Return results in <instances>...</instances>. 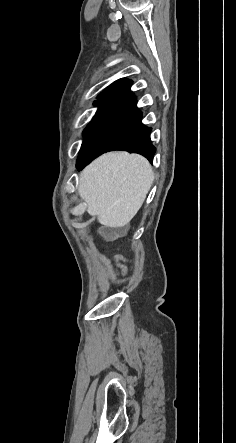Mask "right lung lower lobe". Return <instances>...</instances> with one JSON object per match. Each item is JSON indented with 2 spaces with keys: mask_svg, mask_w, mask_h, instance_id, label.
Returning a JSON list of instances; mask_svg holds the SVG:
<instances>
[{
  "mask_svg": "<svg viewBox=\"0 0 236 443\" xmlns=\"http://www.w3.org/2000/svg\"><path fill=\"white\" fill-rule=\"evenodd\" d=\"M130 89L107 99L84 130L77 168L80 170L100 154L111 150L138 153L152 162L156 152L150 140L151 128L141 122Z\"/></svg>",
  "mask_w": 236,
  "mask_h": 443,
  "instance_id": "98d812e1",
  "label": "right lung lower lobe"
}]
</instances>
